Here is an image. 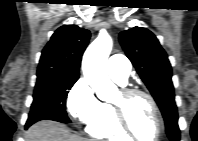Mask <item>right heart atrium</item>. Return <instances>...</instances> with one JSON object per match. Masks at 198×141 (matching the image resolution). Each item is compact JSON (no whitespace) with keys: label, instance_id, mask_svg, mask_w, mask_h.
Here are the masks:
<instances>
[{"label":"right heart atrium","instance_id":"d8ad5b80","mask_svg":"<svg viewBox=\"0 0 198 141\" xmlns=\"http://www.w3.org/2000/svg\"><path fill=\"white\" fill-rule=\"evenodd\" d=\"M100 101L84 77L70 88L66 98V109L70 118L78 124H88L99 110Z\"/></svg>","mask_w":198,"mask_h":141}]
</instances>
